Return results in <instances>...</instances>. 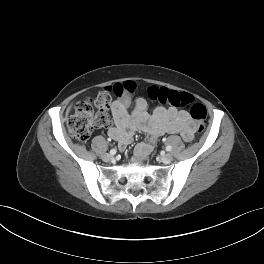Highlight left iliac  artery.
<instances>
[{
  "instance_id": "44dca946",
  "label": "left iliac artery",
  "mask_w": 264,
  "mask_h": 264,
  "mask_svg": "<svg viewBox=\"0 0 264 264\" xmlns=\"http://www.w3.org/2000/svg\"><path fill=\"white\" fill-rule=\"evenodd\" d=\"M166 150H167V151H171V150H172V147H171L170 145H168V146L166 147Z\"/></svg>"
}]
</instances>
